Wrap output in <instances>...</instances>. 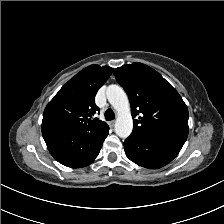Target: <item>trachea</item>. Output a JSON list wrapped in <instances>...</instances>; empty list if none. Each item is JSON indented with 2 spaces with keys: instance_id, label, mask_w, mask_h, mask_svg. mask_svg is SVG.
Masks as SVG:
<instances>
[{
  "instance_id": "obj_1",
  "label": "trachea",
  "mask_w": 224,
  "mask_h": 224,
  "mask_svg": "<svg viewBox=\"0 0 224 224\" xmlns=\"http://www.w3.org/2000/svg\"><path fill=\"white\" fill-rule=\"evenodd\" d=\"M105 118L107 121L113 120L115 118V114L112 109H107L105 111Z\"/></svg>"
}]
</instances>
